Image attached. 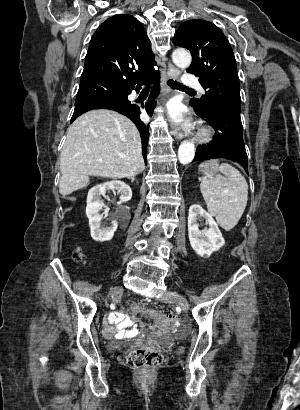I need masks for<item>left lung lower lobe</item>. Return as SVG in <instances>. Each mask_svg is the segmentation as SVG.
<instances>
[{"label":"left lung lower lobe","mask_w":300,"mask_h":410,"mask_svg":"<svg viewBox=\"0 0 300 410\" xmlns=\"http://www.w3.org/2000/svg\"><path fill=\"white\" fill-rule=\"evenodd\" d=\"M196 113L204 117L216 133L208 145L197 147L193 161L225 158L240 163L248 171L240 112L224 106H215L206 115H201L197 111Z\"/></svg>","instance_id":"left-lung-lower-lobe-1"}]
</instances>
